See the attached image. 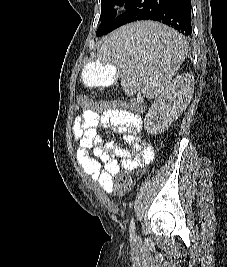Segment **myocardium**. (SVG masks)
<instances>
[{
    "label": "myocardium",
    "mask_w": 227,
    "mask_h": 267,
    "mask_svg": "<svg viewBox=\"0 0 227 267\" xmlns=\"http://www.w3.org/2000/svg\"><path fill=\"white\" fill-rule=\"evenodd\" d=\"M124 6H125L124 2L118 0L112 3L110 9L112 13H119L124 8Z\"/></svg>",
    "instance_id": "obj_1"
}]
</instances>
